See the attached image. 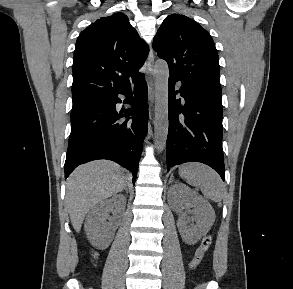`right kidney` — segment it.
Returning a JSON list of instances; mask_svg holds the SVG:
<instances>
[{"label":"right kidney","mask_w":293,"mask_h":289,"mask_svg":"<svg viewBox=\"0 0 293 289\" xmlns=\"http://www.w3.org/2000/svg\"><path fill=\"white\" fill-rule=\"evenodd\" d=\"M125 206L126 198L123 195H115L92 208L84 227L87 237L93 245L105 248L110 244L116 229V222H106L108 213L113 211L116 218H119Z\"/></svg>","instance_id":"right-kidney-1"}]
</instances>
